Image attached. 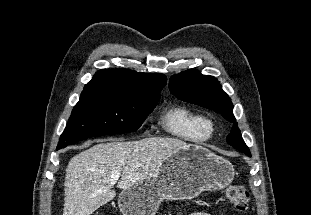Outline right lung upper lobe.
<instances>
[{
  "label": "right lung upper lobe",
  "mask_w": 311,
  "mask_h": 215,
  "mask_svg": "<svg viewBox=\"0 0 311 215\" xmlns=\"http://www.w3.org/2000/svg\"><path fill=\"white\" fill-rule=\"evenodd\" d=\"M166 85L164 74L138 73L127 69H103L95 73L83 92H105L138 98H159Z\"/></svg>",
  "instance_id": "right-lung-upper-lobe-1"
}]
</instances>
